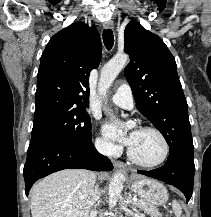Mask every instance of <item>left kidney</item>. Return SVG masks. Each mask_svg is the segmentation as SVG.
Instances as JSON below:
<instances>
[{
	"instance_id": "1",
	"label": "left kidney",
	"mask_w": 211,
	"mask_h": 217,
	"mask_svg": "<svg viewBox=\"0 0 211 217\" xmlns=\"http://www.w3.org/2000/svg\"><path fill=\"white\" fill-rule=\"evenodd\" d=\"M135 217H144V216H139V214H136Z\"/></svg>"
}]
</instances>
